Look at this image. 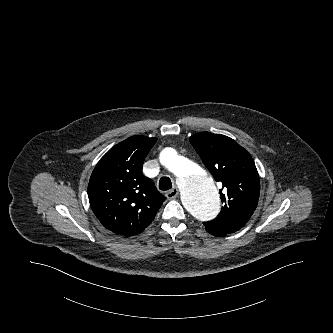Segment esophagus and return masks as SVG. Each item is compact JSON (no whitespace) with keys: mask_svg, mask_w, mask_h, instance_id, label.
<instances>
[{"mask_svg":"<svg viewBox=\"0 0 333 333\" xmlns=\"http://www.w3.org/2000/svg\"><path fill=\"white\" fill-rule=\"evenodd\" d=\"M179 194V191H178V188L177 187H174L173 189L169 190L167 193H166V197L168 199H174L178 196Z\"/></svg>","mask_w":333,"mask_h":333,"instance_id":"obj_1","label":"esophagus"}]
</instances>
